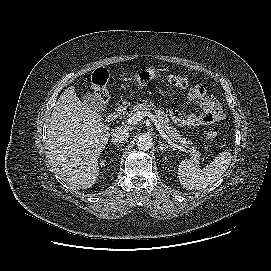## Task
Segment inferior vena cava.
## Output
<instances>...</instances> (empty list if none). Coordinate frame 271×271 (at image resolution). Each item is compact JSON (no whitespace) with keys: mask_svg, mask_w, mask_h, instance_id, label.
Segmentation results:
<instances>
[{"mask_svg":"<svg viewBox=\"0 0 271 271\" xmlns=\"http://www.w3.org/2000/svg\"><path fill=\"white\" fill-rule=\"evenodd\" d=\"M112 140L116 143H124L129 138V132L126 128L116 127L111 132Z\"/></svg>","mask_w":271,"mask_h":271,"instance_id":"obj_1","label":"inferior vena cava"}]
</instances>
